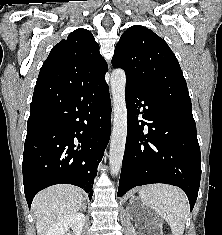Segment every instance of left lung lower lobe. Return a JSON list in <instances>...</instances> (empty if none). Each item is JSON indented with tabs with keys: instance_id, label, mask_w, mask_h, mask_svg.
I'll use <instances>...</instances> for the list:
<instances>
[{
	"instance_id": "0a47b994",
	"label": "left lung lower lobe",
	"mask_w": 222,
	"mask_h": 235,
	"mask_svg": "<svg viewBox=\"0 0 222 235\" xmlns=\"http://www.w3.org/2000/svg\"><path fill=\"white\" fill-rule=\"evenodd\" d=\"M126 104L128 133L118 197L139 185L165 183L180 187L192 210L201 178V154L192 112L129 84ZM139 114L143 120H138Z\"/></svg>"
}]
</instances>
